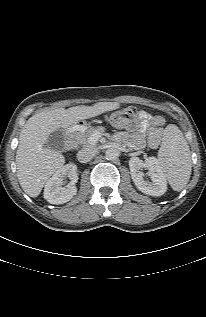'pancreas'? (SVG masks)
<instances>
[{"label":"pancreas","instance_id":"pancreas-1","mask_svg":"<svg viewBox=\"0 0 206 317\" xmlns=\"http://www.w3.org/2000/svg\"><path fill=\"white\" fill-rule=\"evenodd\" d=\"M104 129L102 127H91L83 132H75L74 133V144L75 145H83V146H93L94 143L90 141V138L93 134L99 132H103Z\"/></svg>","mask_w":206,"mask_h":317}]
</instances>
